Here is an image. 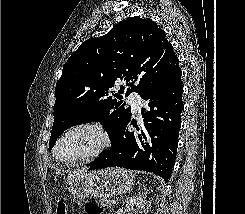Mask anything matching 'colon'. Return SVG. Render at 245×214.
I'll return each mask as SVG.
<instances>
[{"instance_id":"5ec220e1","label":"colon","mask_w":245,"mask_h":214,"mask_svg":"<svg viewBox=\"0 0 245 214\" xmlns=\"http://www.w3.org/2000/svg\"><path fill=\"white\" fill-rule=\"evenodd\" d=\"M85 211L87 214H101L102 209L98 204L94 202H88L85 205ZM57 214H66V206L63 201H59L58 203Z\"/></svg>"}]
</instances>
